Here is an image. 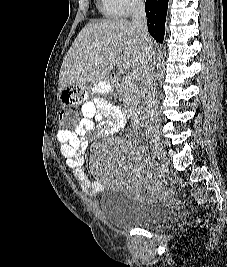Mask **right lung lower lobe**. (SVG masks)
I'll return each mask as SVG.
<instances>
[{"label": "right lung lower lobe", "instance_id": "right-lung-lower-lobe-1", "mask_svg": "<svg viewBox=\"0 0 227 267\" xmlns=\"http://www.w3.org/2000/svg\"><path fill=\"white\" fill-rule=\"evenodd\" d=\"M168 0H146L145 11L148 31L159 43H163Z\"/></svg>", "mask_w": 227, "mask_h": 267}]
</instances>
